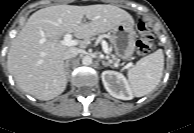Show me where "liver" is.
<instances>
[{"label":"liver","mask_w":194,"mask_h":133,"mask_svg":"<svg viewBox=\"0 0 194 133\" xmlns=\"http://www.w3.org/2000/svg\"><path fill=\"white\" fill-rule=\"evenodd\" d=\"M84 16L89 22H82ZM133 22L125 10L113 5H55L33 13L12 40L7 66L18 86L40 100H50L66 88L64 53L72 48L61 37L73 33L89 39L112 30L123 21Z\"/></svg>","instance_id":"liver-1"}]
</instances>
